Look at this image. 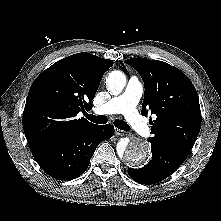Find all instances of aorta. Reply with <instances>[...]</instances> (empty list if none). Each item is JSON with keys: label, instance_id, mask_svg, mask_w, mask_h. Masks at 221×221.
<instances>
[{"label": "aorta", "instance_id": "obj_1", "mask_svg": "<svg viewBox=\"0 0 221 221\" xmlns=\"http://www.w3.org/2000/svg\"><path fill=\"white\" fill-rule=\"evenodd\" d=\"M126 84V77L121 71H112L106 80L107 90L112 95L122 92ZM117 153L130 165L140 167L147 161L149 155L148 144L139 138H123L117 144Z\"/></svg>", "mask_w": 221, "mask_h": 221}]
</instances>
